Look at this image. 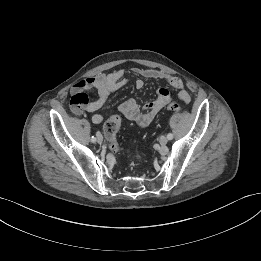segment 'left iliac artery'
Segmentation results:
<instances>
[{"instance_id":"left-iliac-artery-1","label":"left iliac artery","mask_w":261,"mask_h":261,"mask_svg":"<svg viewBox=\"0 0 261 261\" xmlns=\"http://www.w3.org/2000/svg\"><path fill=\"white\" fill-rule=\"evenodd\" d=\"M167 138H168L169 140L173 139V134L168 133Z\"/></svg>"}]
</instances>
